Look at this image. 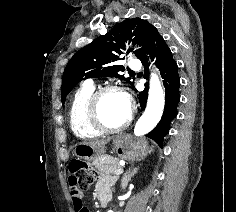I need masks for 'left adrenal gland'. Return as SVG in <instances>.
<instances>
[{
    "label": "left adrenal gland",
    "instance_id": "a2214340",
    "mask_svg": "<svg viewBox=\"0 0 236 212\" xmlns=\"http://www.w3.org/2000/svg\"><path fill=\"white\" fill-rule=\"evenodd\" d=\"M138 168H134L131 171L126 172L121 179V188L126 189L131 178L137 173Z\"/></svg>",
    "mask_w": 236,
    "mask_h": 212
}]
</instances>
